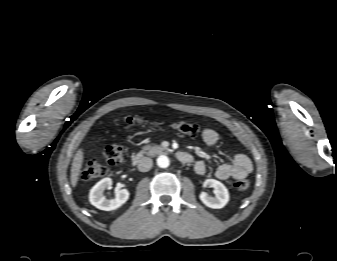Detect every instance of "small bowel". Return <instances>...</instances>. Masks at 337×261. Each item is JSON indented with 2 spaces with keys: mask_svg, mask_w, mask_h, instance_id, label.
<instances>
[{
  "mask_svg": "<svg viewBox=\"0 0 337 261\" xmlns=\"http://www.w3.org/2000/svg\"><path fill=\"white\" fill-rule=\"evenodd\" d=\"M219 140V134L213 129H205L203 141L209 147L215 145ZM195 172L198 175H204L207 167L203 161H197L194 166ZM252 171V162L245 154H235L232 160L228 163L219 165L215 171L216 178L227 180L230 178L242 179L247 177Z\"/></svg>",
  "mask_w": 337,
  "mask_h": 261,
  "instance_id": "obj_1",
  "label": "small bowel"
}]
</instances>
